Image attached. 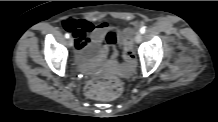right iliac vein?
Masks as SVG:
<instances>
[{
	"instance_id": "63e3f726",
	"label": "right iliac vein",
	"mask_w": 218,
	"mask_h": 122,
	"mask_svg": "<svg viewBox=\"0 0 218 122\" xmlns=\"http://www.w3.org/2000/svg\"><path fill=\"white\" fill-rule=\"evenodd\" d=\"M73 44H74L73 38H69V39H68V46H69V47H72Z\"/></svg>"
}]
</instances>
